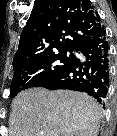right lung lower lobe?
Returning <instances> with one entry per match:
<instances>
[{
  "label": "right lung lower lobe",
  "mask_w": 117,
  "mask_h": 136,
  "mask_svg": "<svg viewBox=\"0 0 117 136\" xmlns=\"http://www.w3.org/2000/svg\"><path fill=\"white\" fill-rule=\"evenodd\" d=\"M77 52L85 56V61L74 56L64 69L38 87L85 92L105 106L110 78V58L104 26L85 41Z\"/></svg>",
  "instance_id": "98d812e1"
}]
</instances>
